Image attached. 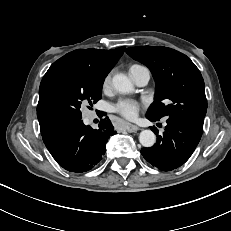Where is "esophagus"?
<instances>
[{
	"instance_id": "obj_1",
	"label": "esophagus",
	"mask_w": 231,
	"mask_h": 231,
	"mask_svg": "<svg viewBox=\"0 0 231 231\" xmlns=\"http://www.w3.org/2000/svg\"><path fill=\"white\" fill-rule=\"evenodd\" d=\"M127 132H136L139 130V127H137L136 125H133V124H126L125 125V128H124Z\"/></svg>"
}]
</instances>
